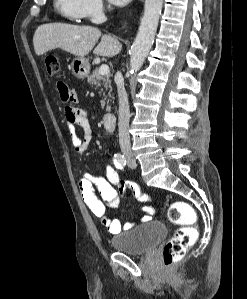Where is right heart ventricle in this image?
Here are the masks:
<instances>
[{
	"label": "right heart ventricle",
	"instance_id": "e07e8e85",
	"mask_svg": "<svg viewBox=\"0 0 247 299\" xmlns=\"http://www.w3.org/2000/svg\"><path fill=\"white\" fill-rule=\"evenodd\" d=\"M54 7L67 20L80 21L84 17L82 0H54Z\"/></svg>",
	"mask_w": 247,
	"mask_h": 299
}]
</instances>
